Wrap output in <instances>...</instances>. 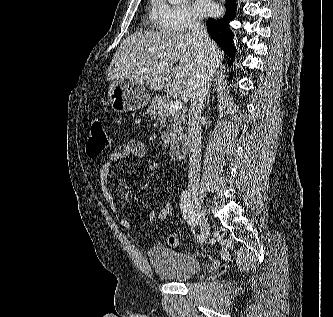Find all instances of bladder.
Wrapping results in <instances>:
<instances>
[{
  "label": "bladder",
  "instance_id": "obj_1",
  "mask_svg": "<svg viewBox=\"0 0 333 317\" xmlns=\"http://www.w3.org/2000/svg\"><path fill=\"white\" fill-rule=\"evenodd\" d=\"M148 261L155 274L164 280H185L201 270V262L194 255L154 245L147 250Z\"/></svg>",
  "mask_w": 333,
  "mask_h": 317
}]
</instances>
